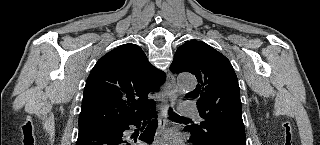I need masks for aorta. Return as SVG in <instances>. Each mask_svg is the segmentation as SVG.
Returning a JSON list of instances; mask_svg holds the SVG:
<instances>
[{
    "instance_id": "obj_1",
    "label": "aorta",
    "mask_w": 320,
    "mask_h": 145,
    "mask_svg": "<svg viewBox=\"0 0 320 145\" xmlns=\"http://www.w3.org/2000/svg\"><path fill=\"white\" fill-rule=\"evenodd\" d=\"M177 85L181 92L190 91L196 86V79L193 75L181 74L177 78Z\"/></svg>"
}]
</instances>
